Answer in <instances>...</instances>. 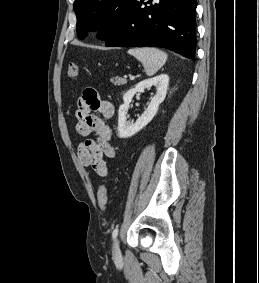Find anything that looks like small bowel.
<instances>
[{
	"mask_svg": "<svg viewBox=\"0 0 259 283\" xmlns=\"http://www.w3.org/2000/svg\"><path fill=\"white\" fill-rule=\"evenodd\" d=\"M113 114L110 101L102 99L93 88L84 89L75 111L76 132L85 138L78 146L77 155L84 166L91 167L101 177L109 174L104 157L116 156L111 144L112 131L106 121Z\"/></svg>",
	"mask_w": 259,
	"mask_h": 283,
	"instance_id": "1",
	"label": "small bowel"
}]
</instances>
